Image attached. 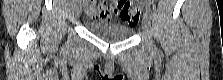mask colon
Instances as JSON below:
<instances>
[{"label": "colon", "mask_w": 223, "mask_h": 80, "mask_svg": "<svg viewBox=\"0 0 223 80\" xmlns=\"http://www.w3.org/2000/svg\"><path fill=\"white\" fill-rule=\"evenodd\" d=\"M106 2H97L95 4ZM153 3V0H131V1H110L111 6L116 15H119L123 20L127 21L131 25H136L140 19L141 10L145 6H149Z\"/></svg>", "instance_id": "colon-1"}]
</instances>
